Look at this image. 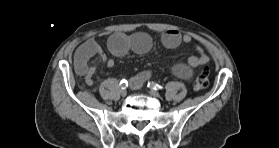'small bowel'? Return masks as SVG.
I'll list each match as a JSON object with an SVG mask.
<instances>
[{
	"mask_svg": "<svg viewBox=\"0 0 279 148\" xmlns=\"http://www.w3.org/2000/svg\"><path fill=\"white\" fill-rule=\"evenodd\" d=\"M161 41L167 48H176L182 42L190 43L192 37L189 34L182 35L177 30H166L161 35ZM152 45L151 37L144 32H136L134 34L115 33L108 39V49L115 57L124 56L128 51H133L137 54H144L149 51ZM196 55L188 58L186 63L177 64L173 67V73L183 79H189L193 76L194 69L200 65L209 62V56L200 45L194 46ZM98 56L107 67L112 69L115 66L113 59H107L99 43L91 38L81 44L74 56L75 70L78 75L83 76L88 85L92 84V77L95 72V67L90 63V60ZM151 71L144 70L136 74L130 79L129 83L132 89H139L149 78Z\"/></svg>",
	"mask_w": 279,
	"mask_h": 148,
	"instance_id": "obj_1",
	"label": "small bowel"
}]
</instances>
